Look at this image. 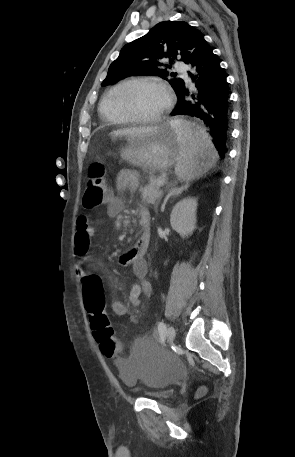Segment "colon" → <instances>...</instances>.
<instances>
[{
    "instance_id": "1",
    "label": "colon",
    "mask_w": 295,
    "mask_h": 457,
    "mask_svg": "<svg viewBox=\"0 0 295 457\" xmlns=\"http://www.w3.org/2000/svg\"><path fill=\"white\" fill-rule=\"evenodd\" d=\"M111 194L106 184V171L103 163H91L88 171L87 186L83 196V208L92 210L107 202ZM85 305L90 315L94 337L101 351L112 362H121V343H116L110 320L104 307L102 279L96 276L89 277L83 286Z\"/></svg>"
}]
</instances>
